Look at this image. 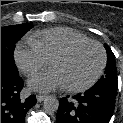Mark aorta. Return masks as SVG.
Instances as JSON below:
<instances>
[{
    "label": "aorta",
    "mask_w": 123,
    "mask_h": 123,
    "mask_svg": "<svg viewBox=\"0 0 123 123\" xmlns=\"http://www.w3.org/2000/svg\"><path fill=\"white\" fill-rule=\"evenodd\" d=\"M43 106L47 112L52 113L58 110L59 101L54 96H47L44 99Z\"/></svg>",
    "instance_id": "762f6f07"
}]
</instances>
